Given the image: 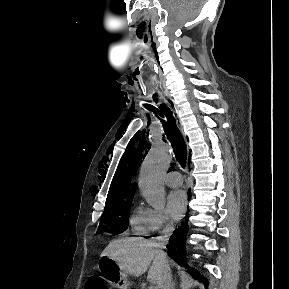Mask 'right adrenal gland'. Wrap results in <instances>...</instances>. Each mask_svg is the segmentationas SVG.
<instances>
[{
	"label": "right adrenal gland",
	"mask_w": 289,
	"mask_h": 289,
	"mask_svg": "<svg viewBox=\"0 0 289 289\" xmlns=\"http://www.w3.org/2000/svg\"><path fill=\"white\" fill-rule=\"evenodd\" d=\"M172 289H175V288H174V284H173V286H172Z\"/></svg>",
	"instance_id": "2a0ac1e0"
}]
</instances>
